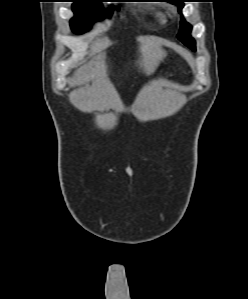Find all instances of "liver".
Returning a JSON list of instances; mask_svg holds the SVG:
<instances>
[{
	"mask_svg": "<svg viewBox=\"0 0 248 299\" xmlns=\"http://www.w3.org/2000/svg\"><path fill=\"white\" fill-rule=\"evenodd\" d=\"M137 40L140 42L141 53L140 59L137 63L147 75H150L154 72L159 62L166 56V52L161 48V39L157 37H139ZM108 45V43H103L99 46L94 45L93 48L100 51ZM106 68L107 67L103 59L84 63L74 72L71 80V86L74 87L88 82L97 72H100L102 77H106Z\"/></svg>",
	"mask_w": 248,
	"mask_h": 299,
	"instance_id": "1",
	"label": "liver"
}]
</instances>
